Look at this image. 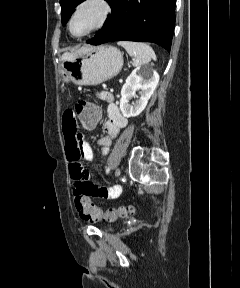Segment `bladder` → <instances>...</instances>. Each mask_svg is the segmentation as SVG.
Instances as JSON below:
<instances>
[{
	"instance_id": "1",
	"label": "bladder",
	"mask_w": 240,
	"mask_h": 288,
	"mask_svg": "<svg viewBox=\"0 0 240 288\" xmlns=\"http://www.w3.org/2000/svg\"><path fill=\"white\" fill-rule=\"evenodd\" d=\"M105 230L108 231V232H113V231H114V228H112V227H107Z\"/></svg>"
}]
</instances>
